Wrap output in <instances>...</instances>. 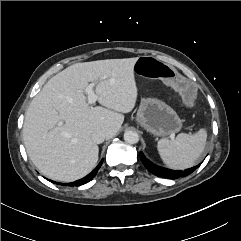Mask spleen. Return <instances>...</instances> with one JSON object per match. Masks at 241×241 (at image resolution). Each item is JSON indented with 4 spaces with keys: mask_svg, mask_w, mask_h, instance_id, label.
<instances>
[{
    "mask_svg": "<svg viewBox=\"0 0 241 241\" xmlns=\"http://www.w3.org/2000/svg\"><path fill=\"white\" fill-rule=\"evenodd\" d=\"M207 140V131L202 128L195 134L180 133L175 139L163 138L157 149L163 162L171 169L183 170L194 166L201 156Z\"/></svg>",
    "mask_w": 241,
    "mask_h": 241,
    "instance_id": "1",
    "label": "spleen"
}]
</instances>
